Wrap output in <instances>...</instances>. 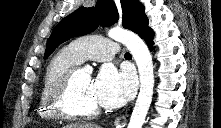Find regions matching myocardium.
Here are the masks:
<instances>
[{
	"instance_id": "myocardium-1",
	"label": "myocardium",
	"mask_w": 221,
	"mask_h": 128,
	"mask_svg": "<svg viewBox=\"0 0 221 128\" xmlns=\"http://www.w3.org/2000/svg\"><path fill=\"white\" fill-rule=\"evenodd\" d=\"M79 70V67L70 69L63 79L52 88L47 97L49 109L55 115L67 120L91 119L96 117L100 112L99 107H96L93 110L83 111L75 110L69 105L68 101Z\"/></svg>"
}]
</instances>
